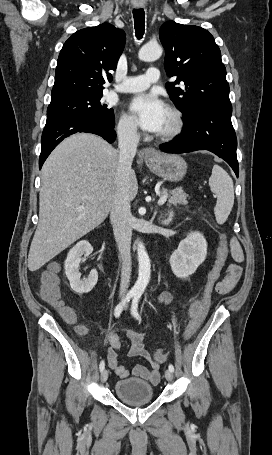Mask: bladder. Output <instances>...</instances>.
<instances>
[{
    "label": "bladder",
    "instance_id": "obj_1",
    "mask_svg": "<svg viewBox=\"0 0 272 455\" xmlns=\"http://www.w3.org/2000/svg\"><path fill=\"white\" fill-rule=\"evenodd\" d=\"M116 396L129 405H143L150 403L154 398L153 386L139 378H125L115 383Z\"/></svg>",
    "mask_w": 272,
    "mask_h": 455
}]
</instances>
